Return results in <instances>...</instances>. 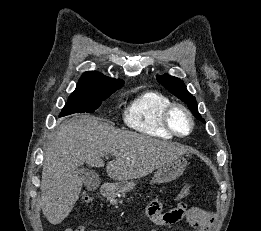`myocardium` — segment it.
Segmentation results:
<instances>
[{"label": "myocardium", "mask_w": 261, "mask_h": 231, "mask_svg": "<svg viewBox=\"0 0 261 231\" xmlns=\"http://www.w3.org/2000/svg\"><path fill=\"white\" fill-rule=\"evenodd\" d=\"M176 110L183 111L187 115V117L190 121V129L186 134H180L179 132H177L172 124V114ZM163 124H164L165 129L170 134H172L173 136L178 137V138H185V137L189 136L192 133L194 126H195L194 118H193L191 111L185 105H183L181 103H172L165 109V111L163 113Z\"/></svg>", "instance_id": "myocardium-1"}]
</instances>
